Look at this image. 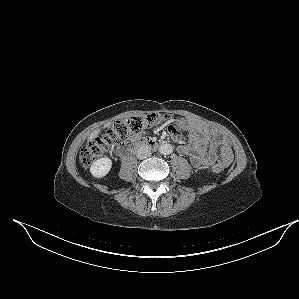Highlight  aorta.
<instances>
[{"instance_id": "762f6f07", "label": "aorta", "mask_w": 299, "mask_h": 299, "mask_svg": "<svg viewBox=\"0 0 299 299\" xmlns=\"http://www.w3.org/2000/svg\"><path fill=\"white\" fill-rule=\"evenodd\" d=\"M159 151L163 155H169L173 152V148L170 144H163L160 146Z\"/></svg>"}]
</instances>
